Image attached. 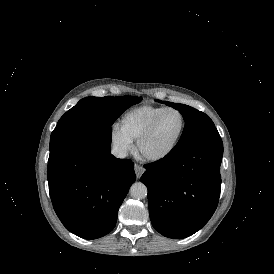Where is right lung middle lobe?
Listing matches in <instances>:
<instances>
[{"label": "right lung middle lobe", "instance_id": "right-lung-middle-lobe-1", "mask_svg": "<svg viewBox=\"0 0 274 274\" xmlns=\"http://www.w3.org/2000/svg\"><path fill=\"white\" fill-rule=\"evenodd\" d=\"M141 100L135 96L81 99L58 121L50 137V151L93 129L111 127L125 109Z\"/></svg>", "mask_w": 274, "mask_h": 274}]
</instances>
